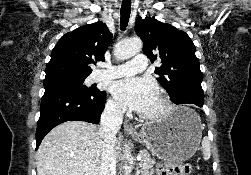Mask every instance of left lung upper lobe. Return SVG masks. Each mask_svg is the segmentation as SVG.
Returning <instances> with one entry per match:
<instances>
[{
	"instance_id": "obj_1",
	"label": "left lung upper lobe",
	"mask_w": 251,
	"mask_h": 175,
	"mask_svg": "<svg viewBox=\"0 0 251 175\" xmlns=\"http://www.w3.org/2000/svg\"><path fill=\"white\" fill-rule=\"evenodd\" d=\"M135 31L151 62L161 60L155 73L170 96L181 90L204 96L201 87L203 74L195 55V45L187 33L150 17L139 18Z\"/></svg>"
}]
</instances>
